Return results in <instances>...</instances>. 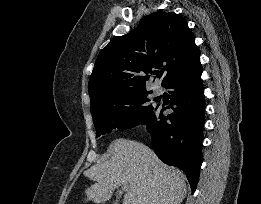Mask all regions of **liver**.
I'll list each match as a JSON object with an SVG mask.
<instances>
[{"label":"liver","mask_w":261,"mask_h":204,"mask_svg":"<svg viewBox=\"0 0 261 204\" xmlns=\"http://www.w3.org/2000/svg\"><path fill=\"white\" fill-rule=\"evenodd\" d=\"M109 152V159L85 171L95 181L85 191L86 201L105 202L124 184L128 189L123 204H181L186 197L183 172L165 165L143 143L119 138L110 144Z\"/></svg>","instance_id":"liver-1"}]
</instances>
